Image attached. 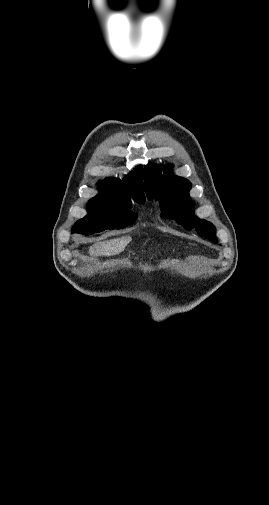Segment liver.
<instances>
[{"instance_id":"6515ba94","label":"liver","mask_w":269,"mask_h":505,"mask_svg":"<svg viewBox=\"0 0 269 505\" xmlns=\"http://www.w3.org/2000/svg\"><path fill=\"white\" fill-rule=\"evenodd\" d=\"M132 238L125 236L109 241L99 242L90 248V254L94 256H112L120 253L130 242Z\"/></svg>"}]
</instances>
